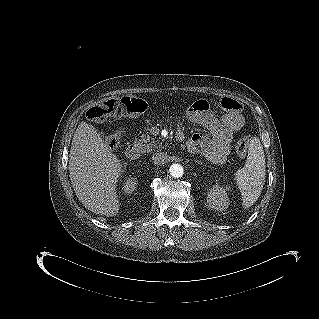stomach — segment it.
<instances>
[{"instance_id": "stomach-1", "label": "stomach", "mask_w": 319, "mask_h": 319, "mask_svg": "<svg viewBox=\"0 0 319 319\" xmlns=\"http://www.w3.org/2000/svg\"><path fill=\"white\" fill-rule=\"evenodd\" d=\"M204 110L205 109L200 107L199 103L193 102L187 109L186 114L189 120L196 122L201 118L202 114L205 112Z\"/></svg>"}]
</instances>
